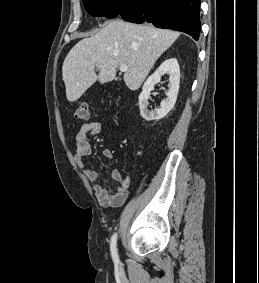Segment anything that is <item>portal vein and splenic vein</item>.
Masks as SVG:
<instances>
[{
    "label": "portal vein and splenic vein",
    "instance_id": "portal-vein-and-splenic-vein-1",
    "mask_svg": "<svg viewBox=\"0 0 259 283\" xmlns=\"http://www.w3.org/2000/svg\"><path fill=\"white\" fill-rule=\"evenodd\" d=\"M99 66V65H98ZM128 70V67H127V65H121L120 66V71L121 72H126Z\"/></svg>",
    "mask_w": 259,
    "mask_h": 283
}]
</instances>
